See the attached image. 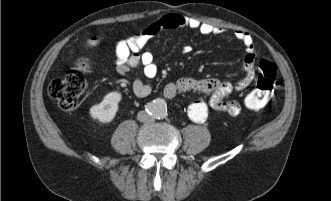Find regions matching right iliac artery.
Returning <instances> with one entry per match:
<instances>
[{"label": "right iliac artery", "instance_id": "82829eb1", "mask_svg": "<svg viewBox=\"0 0 331 201\" xmlns=\"http://www.w3.org/2000/svg\"><path fill=\"white\" fill-rule=\"evenodd\" d=\"M146 111L153 112V107L150 104L146 105Z\"/></svg>", "mask_w": 331, "mask_h": 201}]
</instances>
